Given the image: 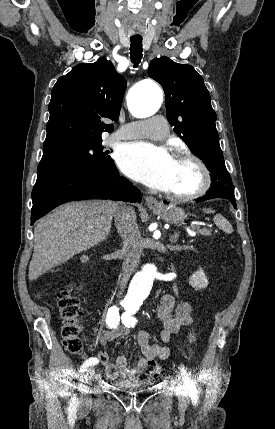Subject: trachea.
<instances>
[{"label":"trachea","instance_id":"trachea-1","mask_svg":"<svg viewBox=\"0 0 275 429\" xmlns=\"http://www.w3.org/2000/svg\"><path fill=\"white\" fill-rule=\"evenodd\" d=\"M130 45V58L131 62L134 64V67H137L142 59V38L141 37H131Z\"/></svg>","mask_w":275,"mask_h":429}]
</instances>
